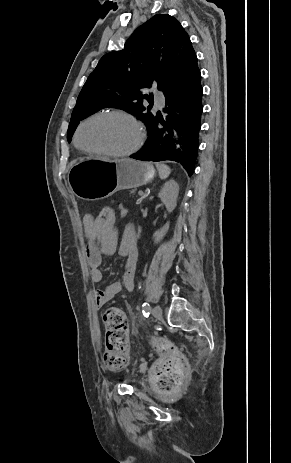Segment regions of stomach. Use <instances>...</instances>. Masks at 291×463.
Here are the masks:
<instances>
[{"mask_svg": "<svg viewBox=\"0 0 291 463\" xmlns=\"http://www.w3.org/2000/svg\"><path fill=\"white\" fill-rule=\"evenodd\" d=\"M152 165L131 159L88 157L71 163L67 180L73 193L84 200H100L116 191L150 182Z\"/></svg>", "mask_w": 291, "mask_h": 463, "instance_id": "1", "label": "stomach"}]
</instances>
